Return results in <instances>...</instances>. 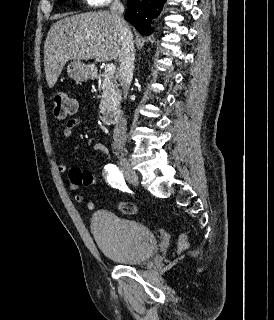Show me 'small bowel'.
Returning <instances> with one entry per match:
<instances>
[{
    "mask_svg": "<svg viewBox=\"0 0 274 320\" xmlns=\"http://www.w3.org/2000/svg\"><path fill=\"white\" fill-rule=\"evenodd\" d=\"M75 109H76V102H75ZM84 123V120L81 119V118H73L71 120H69L63 130H62V140L63 142H66L67 140H69L71 138V136L73 135V132H74V129L83 124ZM92 150L93 151H97V152H103V153H107V149L105 148V146H103L102 144H95L92 146ZM107 159H109V157H107ZM58 171L60 173H64L67 171L68 169V166H67V163L62 161L58 164ZM84 171L85 173H87L89 176H92V174L89 172V171H86V170H82ZM83 186V185H82ZM80 186H77V185H74L72 183L69 184V189L71 190H76L78 189ZM75 200L77 203H80V204H85L86 208L89 210V211H92L94 209V203L90 200H87L83 195H77L75 197Z\"/></svg>",
    "mask_w": 274,
    "mask_h": 320,
    "instance_id": "obj_1",
    "label": "small bowel"
}]
</instances>
